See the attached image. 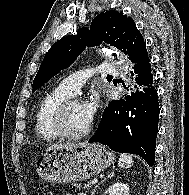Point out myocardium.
Segmentation results:
<instances>
[{
    "instance_id": "myocardium-1",
    "label": "myocardium",
    "mask_w": 189,
    "mask_h": 195,
    "mask_svg": "<svg viewBox=\"0 0 189 195\" xmlns=\"http://www.w3.org/2000/svg\"><path fill=\"white\" fill-rule=\"evenodd\" d=\"M82 103V100L77 97H70L69 99L65 100L63 103L59 105L56 109L54 116H53V126L58 133V135L62 138L68 140H79L83 139L90 134L93 129V122L91 121L90 124L80 133L73 134L68 131L66 127V118L69 110L76 104Z\"/></svg>"
}]
</instances>
